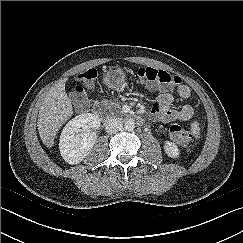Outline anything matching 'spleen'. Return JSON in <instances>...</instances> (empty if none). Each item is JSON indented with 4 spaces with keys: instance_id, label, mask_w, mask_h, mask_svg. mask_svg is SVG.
<instances>
[{
    "instance_id": "obj_1",
    "label": "spleen",
    "mask_w": 243,
    "mask_h": 243,
    "mask_svg": "<svg viewBox=\"0 0 243 243\" xmlns=\"http://www.w3.org/2000/svg\"><path fill=\"white\" fill-rule=\"evenodd\" d=\"M195 126L197 127L196 123L194 124V127H195Z\"/></svg>"
}]
</instances>
